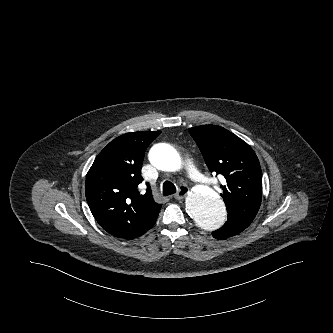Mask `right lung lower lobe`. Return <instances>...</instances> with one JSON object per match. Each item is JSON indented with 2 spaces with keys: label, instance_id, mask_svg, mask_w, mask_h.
<instances>
[{
  "label": "right lung lower lobe",
  "instance_id": "98d812e1",
  "mask_svg": "<svg viewBox=\"0 0 333 333\" xmlns=\"http://www.w3.org/2000/svg\"><path fill=\"white\" fill-rule=\"evenodd\" d=\"M158 214H155L150 220L149 222L144 226L143 230H142V234H144L146 231H148L150 228H152L157 220ZM140 235V236H141Z\"/></svg>",
  "mask_w": 333,
  "mask_h": 333
}]
</instances>
